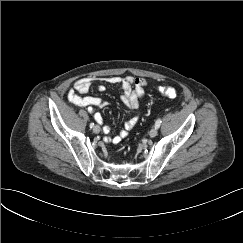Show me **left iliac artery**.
Instances as JSON below:
<instances>
[{
  "instance_id": "1",
  "label": "left iliac artery",
  "mask_w": 243,
  "mask_h": 243,
  "mask_svg": "<svg viewBox=\"0 0 243 243\" xmlns=\"http://www.w3.org/2000/svg\"><path fill=\"white\" fill-rule=\"evenodd\" d=\"M160 125H161V119L159 118V119H157L156 120V122H155V128H159L160 127Z\"/></svg>"
}]
</instances>
